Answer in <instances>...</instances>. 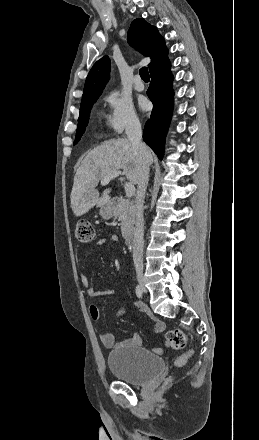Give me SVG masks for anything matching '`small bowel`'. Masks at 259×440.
<instances>
[{
  "instance_id": "small-bowel-1",
  "label": "small bowel",
  "mask_w": 259,
  "mask_h": 440,
  "mask_svg": "<svg viewBox=\"0 0 259 440\" xmlns=\"http://www.w3.org/2000/svg\"><path fill=\"white\" fill-rule=\"evenodd\" d=\"M110 240L113 242H117L119 240L118 236L113 234L110 237ZM106 239L105 238H101L99 240H97L96 244L97 245H103L106 243ZM80 282L82 284V286L84 287L87 295L91 298L97 297V296H101V295H110L113 294L112 290H102V291H98L95 290L93 287H91L89 280L87 278L86 275L81 274L80 275ZM136 306L139 308V310L141 312H143L144 314H146L150 320L153 322L154 325V330L156 332H161L164 330L165 325L162 321H160L159 319H157L150 311L149 309L141 304V303H136ZM126 312L125 308H121L118 312H117V316H121ZM89 315L93 320H97L99 318V309L96 305L92 304L89 306ZM99 340L100 342L103 344V346H105L106 348H112L115 345V340H114V336L112 333L109 332H100L98 334ZM141 344V338L138 334H134L130 339L123 341L122 343H120L121 346H138ZM154 351L156 353H161L162 349L161 348H155Z\"/></svg>"
}]
</instances>
